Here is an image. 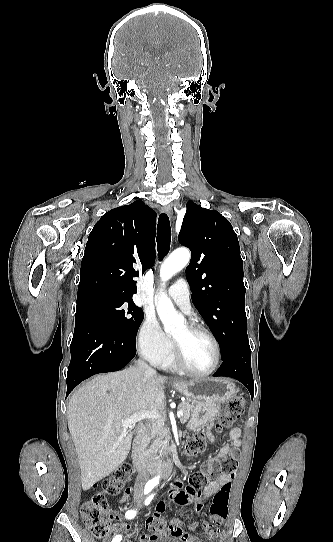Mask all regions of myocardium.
<instances>
[{"label":"myocardium","instance_id":"myocardium-1","mask_svg":"<svg viewBox=\"0 0 333 542\" xmlns=\"http://www.w3.org/2000/svg\"><path fill=\"white\" fill-rule=\"evenodd\" d=\"M189 330L193 333L201 334L206 336L213 344L214 350H215V361L212 365V367L206 371H195L192 370L184 361L179 347L176 345V343L172 340L171 346H170V356L174 364L183 372L196 377H204L213 374L217 368L219 367L220 361H221V348L220 344L217 340V338L214 336V334L209 331L208 329L198 325V324H191L188 326Z\"/></svg>","mask_w":333,"mask_h":542}]
</instances>
